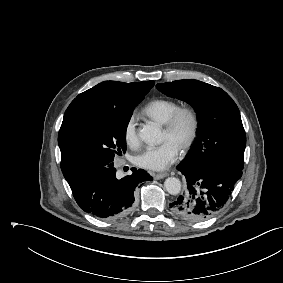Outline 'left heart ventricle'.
<instances>
[{
  "label": "left heart ventricle",
  "mask_w": 283,
  "mask_h": 283,
  "mask_svg": "<svg viewBox=\"0 0 283 283\" xmlns=\"http://www.w3.org/2000/svg\"><path fill=\"white\" fill-rule=\"evenodd\" d=\"M188 130H189V122L187 120H185L181 124L179 130L177 131V133L175 135H169L166 131H163L162 141H164V142L165 141H171L180 148V144L182 143V141L186 137Z\"/></svg>",
  "instance_id": "left-heart-ventricle-1"
}]
</instances>
